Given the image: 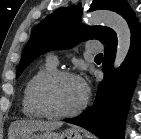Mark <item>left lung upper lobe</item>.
Returning a JSON list of instances; mask_svg holds the SVG:
<instances>
[{
  "instance_id": "obj_1",
  "label": "left lung upper lobe",
  "mask_w": 141,
  "mask_h": 139,
  "mask_svg": "<svg viewBox=\"0 0 141 139\" xmlns=\"http://www.w3.org/2000/svg\"><path fill=\"white\" fill-rule=\"evenodd\" d=\"M109 9L126 19L129 27L138 19L126 0H93L89 10ZM81 6L63 7L43 19L33 30L24 47L18 66L19 77L24 69L38 56L52 50L74 46L80 41L99 40L105 44L116 33L105 26H83L80 24Z\"/></svg>"
}]
</instances>
